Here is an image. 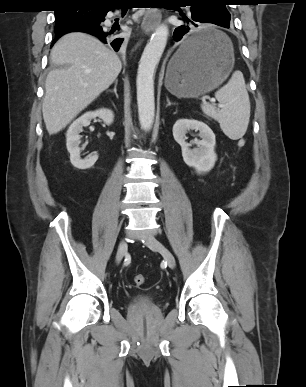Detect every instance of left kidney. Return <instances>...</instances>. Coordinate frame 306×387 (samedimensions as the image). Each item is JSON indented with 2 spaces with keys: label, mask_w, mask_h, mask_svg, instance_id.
<instances>
[{
  "label": "left kidney",
  "mask_w": 306,
  "mask_h": 387,
  "mask_svg": "<svg viewBox=\"0 0 306 387\" xmlns=\"http://www.w3.org/2000/svg\"><path fill=\"white\" fill-rule=\"evenodd\" d=\"M190 130L199 131L201 140L194 139L193 144L197 147L191 149V144L186 142V134ZM173 137L181 146L184 162L193 167L197 173L209 172L215 165L217 155L215 148V134L210 127L198 120L179 119L173 126Z\"/></svg>",
  "instance_id": "obj_1"
}]
</instances>
